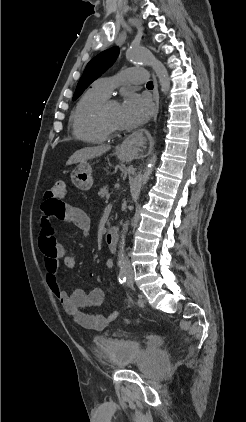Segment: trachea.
Segmentation results:
<instances>
[{
    "label": "trachea",
    "instance_id": "obj_1",
    "mask_svg": "<svg viewBox=\"0 0 246 422\" xmlns=\"http://www.w3.org/2000/svg\"><path fill=\"white\" fill-rule=\"evenodd\" d=\"M147 87H152V88H153V82H152V81H149V82L147 83Z\"/></svg>",
    "mask_w": 246,
    "mask_h": 422
}]
</instances>
